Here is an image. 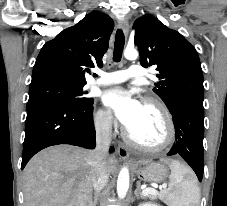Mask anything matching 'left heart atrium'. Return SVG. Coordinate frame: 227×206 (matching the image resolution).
Here are the masks:
<instances>
[{
  "label": "left heart atrium",
  "mask_w": 227,
  "mask_h": 206,
  "mask_svg": "<svg viewBox=\"0 0 227 206\" xmlns=\"http://www.w3.org/2000/svg\"><path fill=\"white\" fill-rule=\"evenodd\" d=\"M103 102L128 131L134 126L142 110V103L133 93L123 88L106 91Z\"/></svg>",
  "instance_id": "39dd6f15"
}]
</instances>
